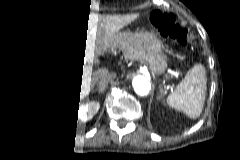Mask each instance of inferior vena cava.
Returning a JSON list of instances; mask_svg holds the SVG:
<instances>
[{
  "label": "inferior vena cava",
  "mask_w": 240,
  "mask_h": 160,
  "mask_svg": "<svg viewBox=\"0 0 240 160\" xmlns=\"http://www.w3.org/2000/svg\"><path fill=\"white\" fill-rule=\"evenodd\" d=\"M107 81H108L107 77L103 78V79H100L99 81H97L96 85L100 90H102L106 86Z\"/></svg>",
  "instance_id": "1"
}]
</instances>
